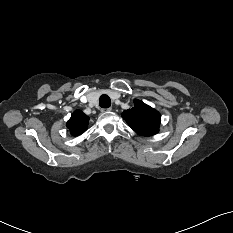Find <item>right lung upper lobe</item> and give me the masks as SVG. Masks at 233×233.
<instances>
[{"instance_id": "right-lung-upper-lobe-1", "label": "right lung upper lobe", "mask_w": 233, "mask_h": 233, "mask_svg": "<svg viewBox=\"0 0 233 233\" xmlns=\"http://www.w3.org/2000/svg\"><path fill=\"white\" fill-rule=\"evenodd\" d=\"M89 122V117L85 115L82 111L76 110L69 121L67 122V127L73 136H78L86 131Z\"/></svg>"}]
</instances>
